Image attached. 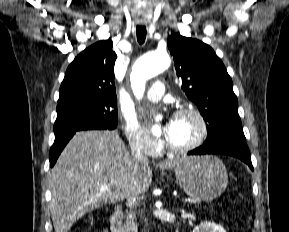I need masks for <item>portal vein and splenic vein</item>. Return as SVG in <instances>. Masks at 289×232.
I'll use <instances>...</instances> for the list:
<instances>
[{
	"instance_id": "portal-vein-and-splenic-vein-1",
	"label": "portal vein and splenic vein",
	"mask_w": 289,
	"mask_h": 232,
	"mask_svg": "<svg viewBox=\"0 0 289 232\" xmlns=\"http://www.w3.org/2000/svg\"><path fill=\"white\" fill-rule=\"evenodd\" d=\"M100 190L101 191H108V190H110V188L108 187V186H106V185H101L100 186ZM183 201L185 202V203H200V201H196V200H194V199H189V198H185V199H183Z\"/></svg>"
}]
</instances>
